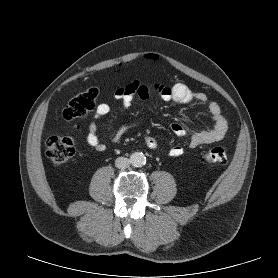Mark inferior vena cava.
<instances>
[{"instance_id": "1", "label": "inferior vena cava", "mask_w": 278, "mask_h": 278, "mask_svg": "<svg viewBox=\"0 0 278 278\" xmlns=\"http://www.w3.org/2000/svg\"><path fill=\"white\" fill-rule=\"evenodd\" d=\"M130 165V160L128 158H125V157H118L116 160H115V166L117 168H120V169H125L127 167H129Z\"/></svg>"}]
</instances>
